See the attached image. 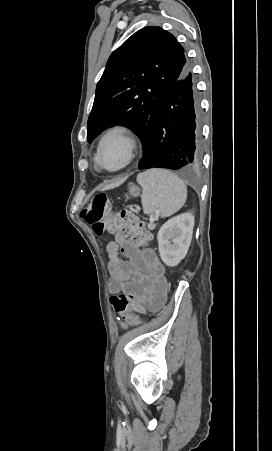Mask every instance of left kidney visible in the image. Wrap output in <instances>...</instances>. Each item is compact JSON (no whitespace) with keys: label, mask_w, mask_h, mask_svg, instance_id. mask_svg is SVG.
<instances>
[{"label":"left kidney","mask_w":272,"mask_h":451,"mask_svg":"<svg viewBox=\"0 0 272 451\" xmlns=\"http://www.w3.org/2000/svg\"><path fill=\"white\" fill-rule=\"evenodd\" d=\"M194 216L180 214L160 227L157 233L159 253L166 265H178L185 257L192 239Z\"/></svg>","instance_id":"1"}]
</instances>
